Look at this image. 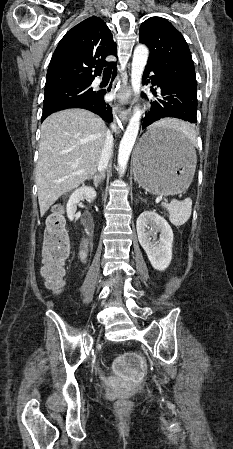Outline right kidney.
Masks as SVG:
<instances>
[{"instance_id": "right-kidney-1", "label": "right kidney", "mask_w": 233, "mask_h": 449, "mask_svg": "<svg viewBox=\"0 0 233 449\" xmlns=\"http://www.w3.org/2000/svg\"><path fill=\"white\" fill-rule=\"evenodd\" d=\"M96 196H97L96 191L91 187L83 185L79 189H76L71 194L66 206L67 216L69 220L72 221L75 218L77 204L80 202V200L82 199L94 200Z\"/></svg>"}]
</instances>
